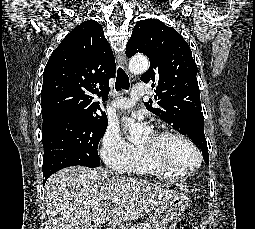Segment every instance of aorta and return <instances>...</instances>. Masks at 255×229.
Instances as JSON below:
<instances>
[{
    "instance_id": "aorta-1",
    "label": "aorta",
    "mask_w": 255,
    "mask_h": 229,
    "mask_svg": "<svg viewBox=\"0 0 255 229\" xmlns=\"http://www.w3.org/2000/svg\"><path fill=\"white\" fill-rule=\"evenodd\" d=\"M149 68V61L145 56H135L129 62V70L134 74H142ZM122 121L128 127L129 141L137 142L141 139L143 130L133 119L123 117Z\"/></svg>"
}]
</instances>
